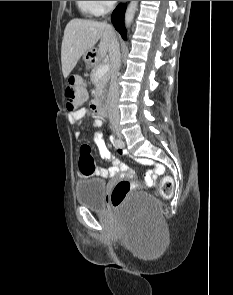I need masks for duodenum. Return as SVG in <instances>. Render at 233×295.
<instances>
[{
    "label": "duodenum",
    "mask_w": 233,
    "mask_h": 295,
    "mask_svg": "<svg viewBox=\"0 0 233 295\" xmlns=\"http://www.w3.org/2000/svg\"><path fill=\"white\" fill-rule=\"evenodd\" d=\"M91 108L94 113L102 115L104 113L103 106L101 99L99 97H96L91 102Z\"/></svg>",
    "instance_id": "410a0bca"
}]
</instances>
